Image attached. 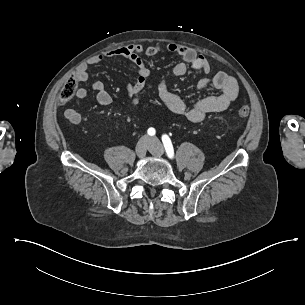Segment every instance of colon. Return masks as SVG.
<instances>
[{
    "instance_id": "1",
    "label": "colon",
    "mask_w": 305,
    "mask_h": 305,
    "mask_svg": "<svg viewBox=\"0 0 305 305\" xmlns=\"http://www.w3.org/2000/svg\"><path fill=\"white\" fill-rule=\"evenodd\" d=\"M80 84V74L76 70H69L65 74V82L61 89V103L65 107H72L76 103V93ZM129 98L131 101L130 106L133 109L138 108L139 103L137 100L138 95L135 92L130 93ZM250 114L248 107H242L238 109L237 115L239 117H247Z\"/></svg>"
}]
</instances>
